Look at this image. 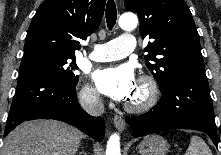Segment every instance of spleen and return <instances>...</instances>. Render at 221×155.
Returning <instances> with one entry per match:
<instances>
[{"mask_svg":"<svg viewBox=\"0 0 221 155\" xmlns=\"http://www.w3.org/2000/svg\"><path fill=\"white\" fill-rule=\"evenodd\" d=\"M184 155H212V152L202 138L192 136L190 138L189 147Z\"/></svg>","mask_w":221,"mask_h":155,"instance_id":"3e777b00","label":"spleen"}]
</instances>
